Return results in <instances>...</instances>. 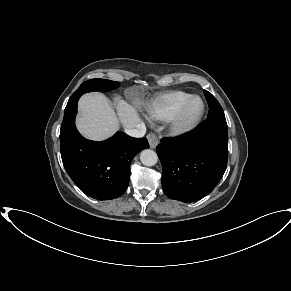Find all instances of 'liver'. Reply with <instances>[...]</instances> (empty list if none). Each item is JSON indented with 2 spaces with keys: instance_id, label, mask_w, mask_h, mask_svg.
<instances>
[{
  "instance_id": "1",
  "label": "liver",
  "mask_w": 291,
  "mask_h": 291,
  "mask_svg": "<svg viewBox=\"0 0 291 291\" xmlns=\"http://www.w3.org/2000/svg\"><path fill=\"white\" fill-rule=\"evenodd\" d=\"M80 116L77 128L81 134L91 140L100 141L111 136L118 128L132 129L141 122L134 106L124 100L117 103V114L106 97L99 93L83 95L78 103Z\"/></svg>"
}]
</instances>
